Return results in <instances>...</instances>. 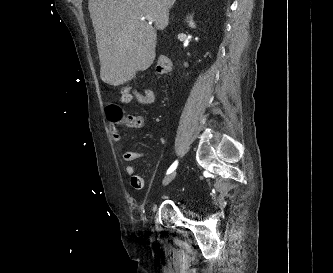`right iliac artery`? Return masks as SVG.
<instances>
[{
  "label": "right iliac artery",
  "mask_w": 333,
  "mask_h": 273,
  "mask_svg": "<svg viewBox=\"0 0 333 273\" xmlns=\"http://www.w3.org/2000/svg\"><path fill=\"white\" fill-rule=\"evenodd\" d=\"M177 165H178V161L176 160V161L170 166V168L167 170V174H170L171 172H173V171L176 169Z\"/></svg>",
  "instance_id": "right-iliac-artery-1"
}]
</instances>
